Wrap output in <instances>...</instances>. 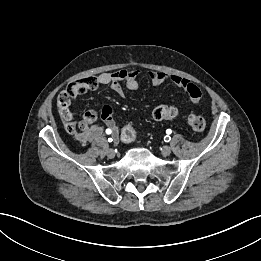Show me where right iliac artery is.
<instances>
[{
    "instance_id": "obj_1",
    "label": "right iliac artery",
    "mask_w": 261,
    "mask_h": 261,
    "mask_svg": "<svg viewBox=\"0 0 261 261\" xmlns=\"http://www.w3.org/2000/svg\"><path fill=\"white\" fill-rule=\"evenodd\" d=\"M106 133H107V134H111V130H110V129H107V130H106ZM112 141H113L112 138H108V142H112Z\"/></svg>"
}]
</instances>
